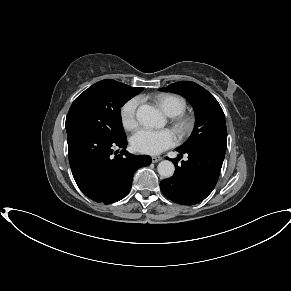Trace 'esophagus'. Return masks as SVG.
<instances>
[{"label":"esophagus","instance_id":"esophagus-1","mask_svg":"<svg viewBox=\"0 0 291 291\" xmlns=\"http://www.w3.org/2000/svg\"><path fill=\"white\" fill-rule=\"evenodd\" d=\"M151 159H152V162L153 163H157V162H159V161L162 160V157H160V156H153Z\"/></svg>","mask_w":291,"mask_h":291}]
</instances>
